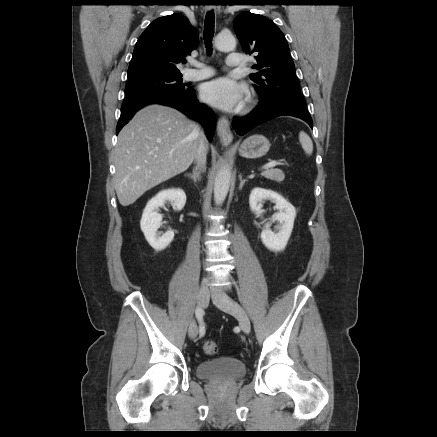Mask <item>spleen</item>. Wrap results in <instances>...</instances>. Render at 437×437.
I'll use <instances>...</instances> for the list:
<instances>
[{
	"instance_id": "obj_1",
	"label": "spleen",
	"mask_w": 437,
	"mask_h": 437,
	"mask_svg": "<svg viewBox=\"0 0 437 437\" xmlns=\"http://www.w3.org/2000/svg\"><path fill=\"white\" fill-rule=\"evenodd\" d=\"M300 144L307 155H311L313 152V143L311 138L304 132L299 133Z\"/></svg>"
}]
</instances>
